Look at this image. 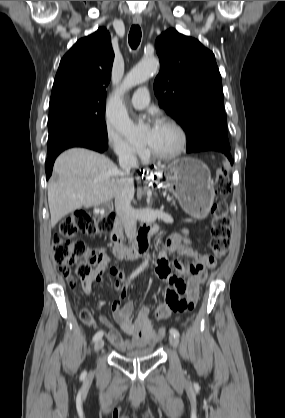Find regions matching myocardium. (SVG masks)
Masks as SVG:
<instances>
[{"instance_id": "1", "label": "myocardium", "mask_w": 285, "mask_h": 418, "mask_svg": "<svg viewBox=\"0 0 285 418\" xmlns=\"http://www.w3.org/2000/svg\"><path fill=\"white\" fill-rule=\"evenodd\" d=\"M163 125L168 126V127H171V128H173V129H175L177 131V133L179 135V144H178V147L172 153L163 154V153H159V152L155 151L150 146V156L152 158L157 159V160L169 161V160H173V159L179 157L185 151L186 146H187V133H186L185 129L183 128V126L181 124H179L175 120L166 119L164 121Z\"/></svg>"}]
</instances>
